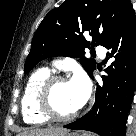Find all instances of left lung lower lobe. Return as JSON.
Instances as JSON below:
<instances>
[{
	"instance_id": "left-lung-lower-lobe-1",
	"label": "left lung lower lobe",
	"mask_w": 136,
	"mask_h": 136,
	"mask_svg": "<svg viewBox=\"0 0 136 136\" xmlns=\"http://www.w3.org/2000/svg\"><path fill=\"white\" fill-rule=\"evenodd\" d=\"M114 61L96 89L95 103L82 118L65 128L87 130L100 136H125L128 112L136 90V16L133 7L120 27L103 45ZM93 78V73L90 75Z\"/></svg>"
}]
</instances>
